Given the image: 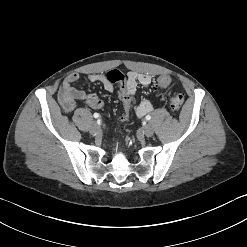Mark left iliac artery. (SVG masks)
<instances>
[{
    "instance_id": "1",
    "label": "left iliac artery",
    "mask_w": 247,
    "mask_h": 247,
    "mask_svg": "<svg viewBox=\"0 0 247 247\" xmlns=\"http://www.w3.org/2000/svg\"><path fill=\"white\" fill-rule=\"evenodd\" d=\"M145 118H146L147 121H149L151 119V116L147 115Z\"/></svg>"
}]
</instances>
